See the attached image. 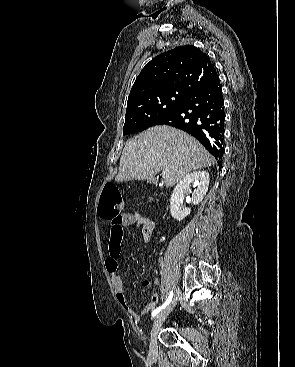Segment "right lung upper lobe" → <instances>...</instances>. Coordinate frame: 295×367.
Listing matches in <instances>:
<instances>
[{
	"mask_svg": "<svg viewBox=\"0 0 295 367\" xmlns=\"http://www.w3.org/2000/svg\"><path fill=\"white\" fill-rule=\"evenodd\" d=\"M218 74L207 54L185 45L148 62L130 91L127 108L135 101L166 92L190 95L214 82Z\"/></svg>",
	"mask_w": 295,
	"mask_h": 367,
	"instance_id": "1",
	"label": "right lung upper lobe"
}]
</instances>
